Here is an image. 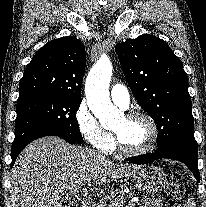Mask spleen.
I'll return each mask as SVG.
<instances>
[{
	"label": "spleen",
	"mask_w": 206,
	"mask_h": 207,
	"mask_svg": "<svg viewBox=\"0 0 206 207\" xmlns=\"http://www.w3.org/2000/svg\"><path fill=\"white\" fill-rule=\"evenodd\" d=\"M184 207H196V203L193 198H189Z\"/></svg>",
	"instance_id": "1"
}]
</instances>
